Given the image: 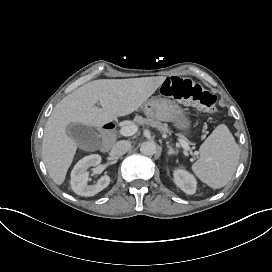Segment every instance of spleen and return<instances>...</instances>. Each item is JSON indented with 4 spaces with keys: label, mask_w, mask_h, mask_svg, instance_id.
<instances>
[{
    "label": "spleen",
    "mask_w": 272,
    "mask_h": 272,
    "mask_svg": "<svg viewBox=\"0 0 272 272\" xmlns=\"http://www.w3.org/2000/svg\"><path fill=\"white\" fill-rule=\"evenodd\" d=\"M199 151L200 158L192 165L197 177L213 189L227 185L240 158V148L228 127L218 125Z\"/></svg>",
    "instance_id": "spleen-1"
}]
</instances>
